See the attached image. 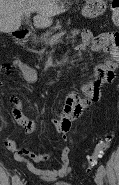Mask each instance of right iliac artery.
Returning a JSON list of instances; mask_svg holds the SVG:
<instances>
[{
  "instance_id": "1",
  "label": "right iliac artery",
  "mask_w": 119,
  "mask_h": 185,
  "mask_svg": "<svg viewBox=\"0 0 119 185\" xmlns=\"http://www.w3.org/2000/svg\"><path fill=\"white\" fill-rule=\"evenodd\" d=\"M19 182V177L17 175H14L12 178V185H17Z\"/></svg>"
}]
</instances>
